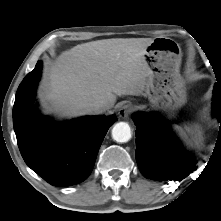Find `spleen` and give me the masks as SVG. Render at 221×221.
<instances>
[{
  "label": "spleen",
  "mask_w": 221,
  "mask_h": 221,
  "mask_svg": "<svg viewBox=\"0 0 221 221\" xmlns=\"http://www.w3.org/2000/svg\"><path fill=\"white\" fill-rule=\"evenodd\" d=\"M173 128L190 144L199 145L203 139L201 128L197 124H185L184 126L174 125Z\"/></svg>",
  "instance_id": "1"
}]
</instances>
